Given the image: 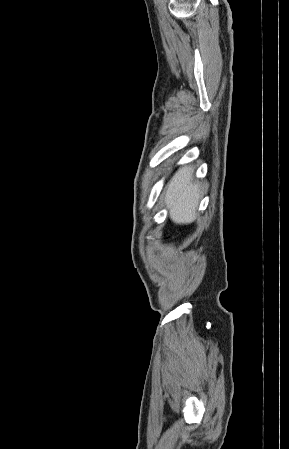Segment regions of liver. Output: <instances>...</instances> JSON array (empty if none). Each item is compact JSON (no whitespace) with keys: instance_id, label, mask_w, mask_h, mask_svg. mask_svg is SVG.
Returning a JSON list of instances; mask_svg holds the SVG:
<instances>
[{"instance_id":"liver-1","label":"liver","mask_w":289,"mask_h":449,"mask_svg":"<svg viewBox=\"0 0 289 449\" xmlns=\"http://www.w3.org/2000/svg\"><path fill=\"white\" fill-rule=\"evenodd\" d=\"M194 169L185 166L172 178L165 195L170 219L176 224H189L197 217L200 200L199 184L193 180Z\"/></svg>"}]
</instances>
